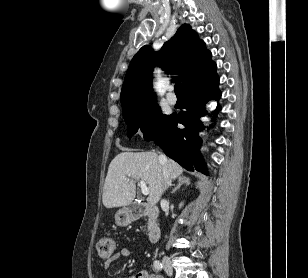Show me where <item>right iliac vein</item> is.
I'll return each instance as SVG.
<instances>
[{"instance_id":"1","label":"right iliac vein","mask_w":308,"mask_h":278,"mask_svg":"<svg viewBox=\"0 0 308 278\" xmlns=\"http://www.w3.org/2000/svg\"><path fill=\"white\" fill-rule=\"evenodd\" d=\"M162 263H163V267L165 272L169 275L172 276L173 274V267H172V263L169 257L164 256L162 259Z\"/></svg>"}]
</instances>
